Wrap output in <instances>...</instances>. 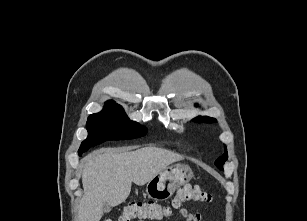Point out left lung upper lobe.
Listing matches in <instances>:
<instances>
[{"label": "left lung upper lobe", "instance_id": "1", "mask_svg": "<svg viewBox=\"0 0 307 221\" xmlns=\"http://www.w3.org/2000/svg\"><path fill=\"white\" fill-rule=\"evenodd\" d=\"M194 121L196 122H207V123H212V122H215L216 119L214 118H211V117H207V116H199V117H196L193 119ZM228 158V154H227V151H225V153L223 154V156L219 157L216 161H215V165L223 170V164L224 162L227 160Z\"/></svg>", "mask_w": 307, "mask_h": 221}]
</instances>
